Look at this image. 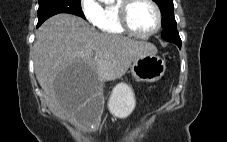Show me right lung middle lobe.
Listing matches in <instances>:
<instances>
[{"label": "right lung middle lobe", "instance_id": "1", "mask_svg": "<svg viewBox=\"0 0 227 142\" xmlns=\"http://www.w3.org/2000/svg\"><path fill=\"white\" fill-rule=\"evenodd\" d=\"M59 13L74 14L85 19L81 9V0H39V24Z\"/></svg>", "mask_w": 227, "mask_h": 142}]
</instances>
